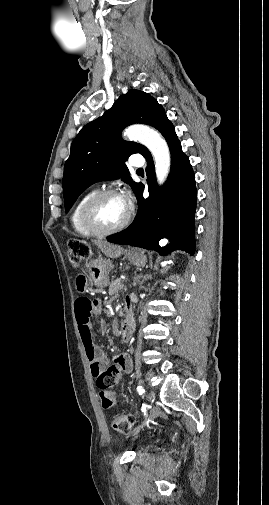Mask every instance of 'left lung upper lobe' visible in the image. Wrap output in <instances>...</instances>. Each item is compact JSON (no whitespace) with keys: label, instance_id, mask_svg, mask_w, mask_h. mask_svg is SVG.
<instances>
[{"label":"left lung upper lobe","instance_id":"5c2ea615","mask_svg":"<svg viewBox=\"0 0 269 505\" xmlns=\"http://www.w3.org/2000/svg\"><path fill=\"white\" fill-rule=\"evenodd\" d=\"M165 116V110L151 95L129 90L101 117L85 125L72 142L64 166L66 212L86 188L101 180L121 178L136 193L141 183L132 181L124 162L131 154L145 156L149 151L139 143L122 140L121 131L135 123L155 127Z\"/></svg>","mask_w":269,"mask_h":505}]
</instances>
